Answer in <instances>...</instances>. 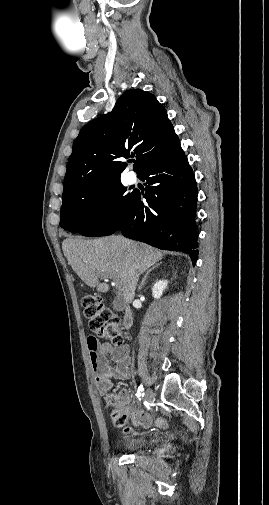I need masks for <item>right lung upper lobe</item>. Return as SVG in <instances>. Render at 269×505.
<instances>
[{"label":"right lung upper lobe","mask_w":269,"mask_h":505,"mask_svg":"<svg viewBox=\"0 0 269 505\" xmlns=\"http://www.w3.org/2000/svg\"><path fill=\"white\" fill-rule=\"evenodd\" d=\"M179 142L167 112L149 92L132 89L123 93L111 113L86 124L73 144L67 163L62 201L77 193L120 180L126 163L136 156L134 170Z\"/></svg>","instance_id":"obj_1"}]
</instances>
